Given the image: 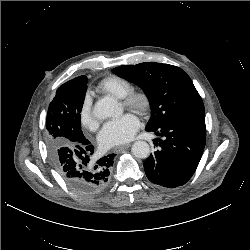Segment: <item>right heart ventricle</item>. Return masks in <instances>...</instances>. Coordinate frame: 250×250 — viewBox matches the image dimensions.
Instances as JSON below:
<instances>
[{"instance_id": "1", "label": "right heart ventricle", "mask_w": 250, "mask_h": 250, "mask_svg": "<svg viewBox=\"0 0 250 250\" xmlns=\"http://www.w3.org/2000/svg\"><path fill=\"white\" fill-rule=\"evenodd\" d=\"M96 90L117 99H123L133 90V85L128 79L122 76L110 75L97 85Z\"/></svg>"}]
</instances>
